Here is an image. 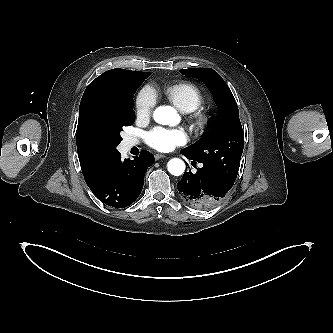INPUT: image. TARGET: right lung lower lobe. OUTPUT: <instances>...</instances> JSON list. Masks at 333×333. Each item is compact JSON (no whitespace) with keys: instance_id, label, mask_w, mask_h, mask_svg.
<instances>
[{"instance_id":"obj_1","label":"right lung lower lobe","mask_w":333,"mask_h":333,"mask_svg":"<svg viewBox=\"0 0 333 333\" xmlns=\"http://www.w3.org/2000/svg\"><path fill=\"white\" fill-rule=\"evenodd\" d=\"M153 162L154 156L146 150H142L133 160H121L118 152L103 175L89 188L106 205L127 207L140 195L144 175Z\"/></svg>"}]
</instances>
